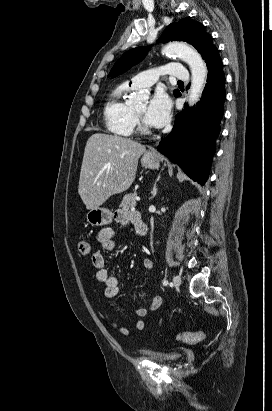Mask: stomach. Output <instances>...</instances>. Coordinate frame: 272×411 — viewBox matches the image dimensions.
<instances>
[{"label": "stomach", "mask_w": 272, "mask_h": 411, "mask_svg": "<svg viewBox=\"0 0 272 411\" xmlns=\"http://www.w3.org/2000/svg\"><path fill=\"white\" fill-rule=\"evenodd\" d=\"M161 157L154 151H147L141 158V164L148 169H158L160 167ZM112 212L104 207H98L89 210L86 215L87 222L91 226L99 227L108 225L112 222Z\"/></svg>", "instance_id": "stomach-1"}]
</instances>
